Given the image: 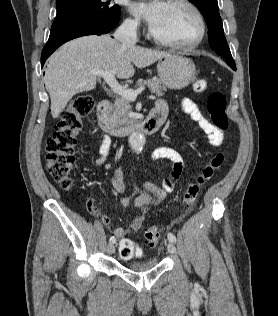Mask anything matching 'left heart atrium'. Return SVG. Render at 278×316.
Returning a JSON list of instances; mask_svg holds the SVG:
<instances>
[{"label":"left heart atrium","mask_w":278,"mask_h":316,"mask_svg":"<svg viewBox=\"0 0 278 316\" xmlns=\"http://www.w3.org/2000/svg\"><path fill=\"white\" fill-rule=\"evenodd\" d=\"M167 3L163 0H139L130 5L131 12L142 18L153 30L162 19Z\"/></svg>","instance_id":"39dd6f15"}]
</instances>
